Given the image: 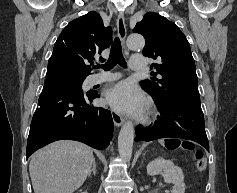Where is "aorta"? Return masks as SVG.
Returning a JSON list of instances; mask_svg holds the SVG:
<instances>
[{
	"label": "aorta",
	"instance_id": "obj_1",
	"mask_svg": "<svg viewBox=\"0 0 237 193\" xmlns=\"http://www.w3.org/2000/svg\"><path fill=\"white\" fill-rule=\"evenodd\" d=\"M145 45V39L141 34H131L127 38V46L130 50H137ZM135 129L132 122L127 121L121 128L118 136V151L124 161H130L132 156Z\"/></svg>",
	"mask_w": 237,
	"mask_h": 193
}]
</instances>
